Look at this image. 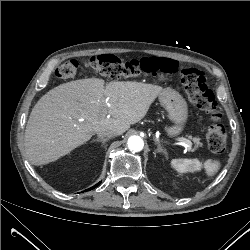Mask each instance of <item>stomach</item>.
<instances>
[{"mask_svg": "<svg viewBox=\"0 0 250 250\" xmlns=\"http://www.w3.org/2000/svg\"><path fill=\"white\" fill-rule=\"evenodd\" d=\"M161 105L167 110L174 125L167 128L170 137L180 134L188 119V107L185 99L176 91L165 89L159 94Z\"/></svg>", "mask_w": 250, "mask_h": 250, "instance_id": "1", "label": "stomach"}]
</instances>
